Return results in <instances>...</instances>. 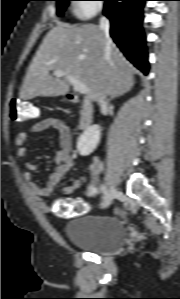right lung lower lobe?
Returning <instances> with one entry per match:
<instances>
[{"label":"right lung lower lobe","mask_w":180,"mask_h":299,"mask_svg":"<svg viewBox=\"0 0 180 299\" xmlns=\"http://www.w3.org/2000/svg\"><path fill=\"white\" fill-rule=\"evenodd\" d=\"M147 0H105L104 15L110 19L114 42L145 75L149 64L142 31V8Z\"/></svg>","instance_id":"98d812e1"}]
</instances>
